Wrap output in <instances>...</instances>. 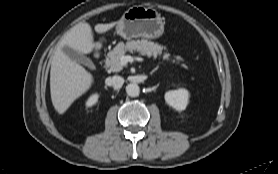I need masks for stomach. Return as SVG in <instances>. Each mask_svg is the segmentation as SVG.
Returning a JSON list of instances; mask_svg holds the SVG:
<instances>
[{
	"label": "stomach",
	"instance_id": "1",
	"mask_svg": "<svg viewBox=\"0 0 278 174\" xmlns=\"http://www.w3.org/2000/svg\"><path fill=\"white\" fill-rule=\"evenodd\" d=\"M116 32L124 39L143 37L155 39L164 32V21L154 9L133 6L124 12L118 21Z\"/></svg>",
	"mask_w": 278,
	"mask_h": 174
}]
</instances>
